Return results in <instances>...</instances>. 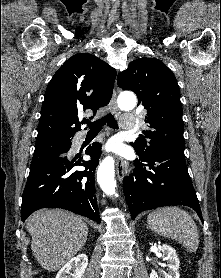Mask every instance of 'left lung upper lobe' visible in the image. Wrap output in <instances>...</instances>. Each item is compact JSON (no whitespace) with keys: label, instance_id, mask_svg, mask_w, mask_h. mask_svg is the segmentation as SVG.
<instances>
[{"label":"left lung upper lobe","instance_id":"5c2ea615","mask_svg":"<svg viewBox=\"0 0 221 278\" xmlns=\"http://www.w3.org/2000/svg\"><path fill=\"white\" fill-rule=\"evenodd\" d=\"M117 82L123 90L133 91L138 105L147 110L150 130L131 143L136 153L148 157L163 148L184 150L180 90L171 70L158 59L139 58L118 74Z\"/></svg>","mask_w":221,"mask_h":278}]
</instances>
